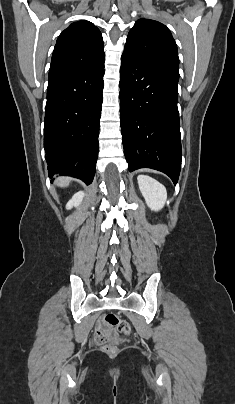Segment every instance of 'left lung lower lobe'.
<instances>
[{
    "label": "left lung lower lobe",
    "mask_w": 235,
    "mask_h": 404,
    "mask_svg": "<svg viewBox=\"0 0 235 404\" xmlns=\"http://www.w3.org/2000/svg\"><path fill=\"white\" fill-rule=\"evenodd\" d=\"M179 74L123 52L120 116L129 171L148 167L178 182L181 166L177 108Z\"/></svg>",
    "instance_id": "left-lung-lower-lobe-1"
}]
</instances>
